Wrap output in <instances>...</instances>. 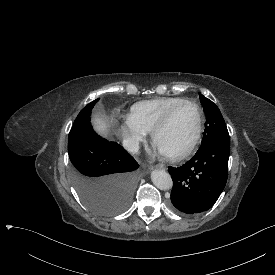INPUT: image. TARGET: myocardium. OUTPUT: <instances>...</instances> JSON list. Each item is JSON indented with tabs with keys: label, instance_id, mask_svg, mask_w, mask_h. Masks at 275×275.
<instances>
[{
	"label": "myocardium",
	"instance_id": "f54148a6",
	"mask_svg": "<svg viewBox=\"0 0 275 275\" xmlns=\"http://www.w3.org/2000/svg\"><path fill=\"white\" fill-rule=\"evenodd\" d=\"M184 105H189L192 106L195 110V114H196V125H195V129L194 132L192 134V136L190 137V139L186 142L185 145H183L182 147L178 148L175 151H171V152H165V151H159L157 150V152L167 158V159H172V160H176V159H180L183 158L184 156H186L187 154H189L193 148L195 147V145L197 144L200 136H201V132H202V125H203V120H202V114L200 111L199 106L191 101V100H186L183 101L181 103H178L176 105H174L164 116V118L158 123L156 124L152 131H151V143L152 146L154 147V142L156 137L163 132L170 124L172 117L174 116V114L176 113V111L181 108ZM155 148V147H154Z\"/></svg>",
	"mask_w": 275,
	"mask_h": 275
}]
</instances>
